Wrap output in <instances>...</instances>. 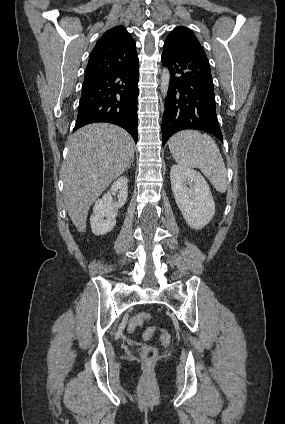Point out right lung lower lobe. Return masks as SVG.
Returning a JSON list of instances; mask_svg holds the SVG:
<instances>
[{
  "instance_id": "right-lung-lower-lobe-1",
  "label": "right lung lower lobe",
  "mask_w": 285,
  "mask_h": 424,
  "mask_svg": "<svg viewBox=\"0 0 285 424\" xmlns=\"http://www.w3.org/2000/svg\"><path fill=\"white\" fill-rule=\"evenodd\" d=\"M139 62L84 79L74 131L87 124L107 122L130 133L137 142Z\"/></svg>"
}]
</instances>
